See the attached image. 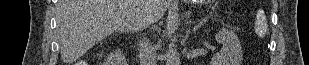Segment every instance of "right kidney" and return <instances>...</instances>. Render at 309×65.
<instances>
[{
  "label": "right kidney",
  "mask_w": 309,
  "mask_h": 65,
  "mask_svg": "<svg viewBox=\"0 0 309 65\" xmlns=\"http://www.w3.org/2000/svg\"><path fill=\"white\" fill-rule=\"evenodd\" d=\"M108 65H126V59L123 53L120 50H116L114 53H111L108 61Z\"/></svg>",
  "instance_id": "1"
}]
</instances>
